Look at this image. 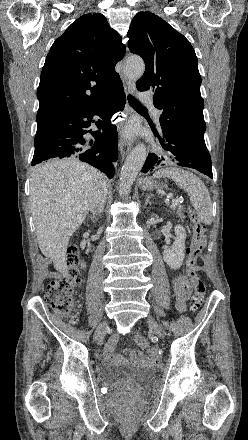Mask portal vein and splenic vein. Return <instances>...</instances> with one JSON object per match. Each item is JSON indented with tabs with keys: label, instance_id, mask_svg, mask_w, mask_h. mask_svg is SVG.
I'll use <instances>...</instances> for the list:
<instances>
[{
	"label": "portal vein and splenic vein",
	"instance_id": "18ae733b",
	"mask_svg": "<svg viewBox=\"0 0 248 440\" xmlns=\"http://www.w3.org/2000/svg\"><path fill=\"white\" fill-rule=\"evenodd\" d=\"M179 204V200L178 199H173L172 200V206H176Z\"/></svg>",
	"mask_w": 248,
	"mask_h": 440
}]
</instances>
